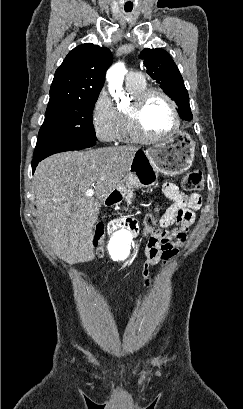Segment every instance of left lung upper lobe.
I'll use <instances>...</instances> for the list:
<instances>
[{
    "mask_svg": "<svg viewBox=\"0 0 243 409\" xmlns=\"http://www.w3.org/2000/svg\"><path fill=\"white\" fill-rule=\"evenodd\" d=\"M147 73L163 88V91L177 104L180 116L190 121L192 113L189 105V96L183 78L171 56L163 49L146 48L141 52Z\"/></svg>",
    "mask_w": 243,
    "mask_h": 409,
    "instance_id": "5c2ea615",
    "label": "left lung upper lobe"
}]
</instances>
